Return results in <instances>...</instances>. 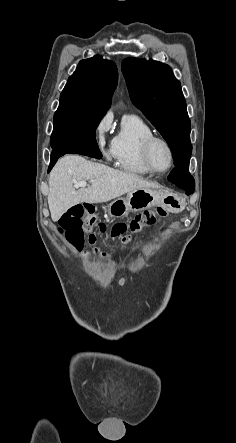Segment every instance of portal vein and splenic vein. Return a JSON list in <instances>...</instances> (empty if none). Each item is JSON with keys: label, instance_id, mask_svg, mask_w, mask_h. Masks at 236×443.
I'll use <instances>...</instances> for the list:
<instances>
[{"label": "portal vein and splenic vein", "instance_id": "18ae733b", "mask_svg": "<svg viewBox=\"0 0 236 443\" xmlns=\"http://www.w3.org/2000/svg\"><path fill=\"white\" fill-rule=\"evenodd\" d=\"M87 186V182L86 181H79V182H76L75 184H74V187L75 188H83V187H86Z\"/></svg>", "mask_w": 236, "mask_h": 443}]
</instances>
